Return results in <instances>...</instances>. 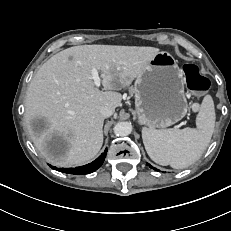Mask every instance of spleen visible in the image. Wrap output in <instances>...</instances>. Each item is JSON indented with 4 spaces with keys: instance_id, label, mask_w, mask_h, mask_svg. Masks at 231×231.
<instances>
[{
    "instance_id": "3e777b00",
    "label": "spleen",
    "mask_w": 231,
    "mask_h": 231,
    "mask_svg": "<svg viewBox=\"0 0 231 231\" xmlns=\"http://www.w3.org/2000/svg\"><path fill=\"white\" fill-rule=\"evenodd\" d=\"M197 128L156 130L144 127L142 139L149 157L159 165L183 169L207 148L215 126L214 102L206 95L196 117Z\"/></svg>"
}]
</instances>
